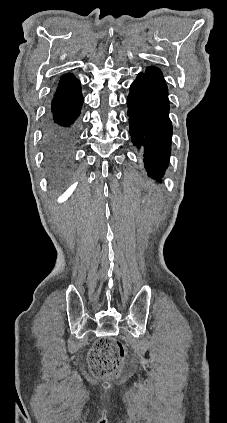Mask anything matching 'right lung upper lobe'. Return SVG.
<instances>
[{"label": "right lung upper lobe", "mask_w": 227, "mask_h": 423, "mask_svg": "<svg viewBox=\"0 0 227 423\" xmlns=\"http://www.w3.org/2000/svg\"><path fill=\"white\" fill-rule=\"evenodd\" d=\"M58 89L71 92H79L81 90L79 81L72 75H64L61 78Z\"/></svg>", "instance_id": "cb5924a9"}]
</instances>
